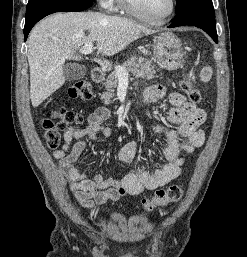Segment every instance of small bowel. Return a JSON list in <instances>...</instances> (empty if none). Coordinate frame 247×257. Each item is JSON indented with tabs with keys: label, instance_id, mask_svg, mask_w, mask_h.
Here are the masks:
<instances>
[{
	"label": "small bowel",
	"instance_id": "obj_1",
	"mask_svg": "<svg viewBox=\"0 0 247 257\" xmlns=\"http://www.w3.org/2000/svg\"><path fill=\"white\" fill-rule=\"evenodd\" d=\"M157 99H167L171 108L166 120L178 125L177 129L165 130L160 125H153L155 133H165L167 144L162 148L165 164L156 170L137 171L131 168L121 178H105L100 174L89 175L75 166V162L87 147L83 138L94 140L98 134L107 139L110 130L104 123L110 118L107 108H98L88 118L83 128L70 126L63 133V145L53 151V157L70 182V191L76 200L85 208L93 209L95 205H103L108 201H116L125 194L139 195L144 190H154L165 186L177 178L188 155L203 145L205 134L199 126L205 121L206 113L197 108L187 98L175 91H169L159 84L149 85L144 89L143 101L150 104ZM73 141H76L73 145ZM137 153L135 141H128L118 152L121 162L132 164Z\"/></svg>",
	"mask_w": 247,
	"mask_h": 257
}]
</instances>
